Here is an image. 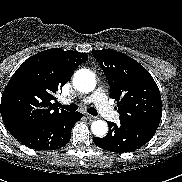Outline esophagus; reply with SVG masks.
Returning <instances> with one entry per match:
<instances>
[{
    "label": "esophagus",
    "mask_w": 182,
    "mask_h": 182,
    "mask_svg": "<svg viewBox=\"0 0 182 182\" xmlns=\"http://www.w3.org/2000/svg\"><path fill=\"white\" fill-rule=\"evenodd\" d=\"M86 116H87V118H88L90 121H93V120L97 119V117L91 116V115H88V114H86Z\"/></svg>",
    "instance_id": "esophagus-1"
}]
</instances>
